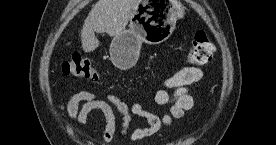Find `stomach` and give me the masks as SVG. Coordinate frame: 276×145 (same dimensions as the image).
Returning a JSON list of instances; mask_svg holds the SVG:
<instances>
[{"label": "stomach", "instance_id": "obj_1", "mask_svg": "<svg viewBox=\"0 0 276 145\" xmlns=\"http://www.w3.org/2000/svg\"><path fill=\"white\" fill-rule=\"evenodd\" d=\"M184 13L185 8L176 1L139 0L130 18L129 28L111 41L109 53L112 63L121 70L133 67L142 43L156 45L166 41Z\"/></svg>", "mask_w": 276, "mask_h": 145}]
</instances>
